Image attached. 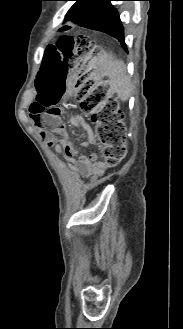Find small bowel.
<instances>
[{"label":"small bowel","mask_w":183,"mask_h":329,"mask_svg":"<svg viewBox=\"0 0 183 329\" xmlns=\"http://www.w3.org/2000/svg\"><path fill=\"white\" fill-rule=\"evenodd\" d=\"M34 124L40 128L42 134L55 133L47 132L42 129L44 125H51L52 122L43 119L40 116H31ZM77 125L87 133V139L81 142L82 147H89L94 144L95 139L92 135L89 126L84 120L78 119L76 121ZM57 133L61 135L60 139L50 138L47 140L49 147L54 148L57 153L62 154L70 163V165L78 170L82 176L86 178H96L100 176L105 170L106 166L97 160L95 154L85 156L79 153L77 148L73 145L69 138L68 132L64 126L58 127Z\"/></svg>","instance_id":"obj_1"}]
</instances>
